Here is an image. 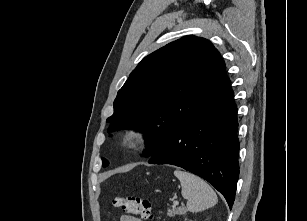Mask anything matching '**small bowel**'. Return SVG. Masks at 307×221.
<instances>
[{
  "instance_id": "1",
  "label": "small bowel",
  "mask_w": 307,
  "mask_h": 221,
  "mask_svg": "<svg viewBox=\"0 0 307 221\" xmlns=\"http://www.w3.org/2000/svg\"><path fill=\"white\" fill-rule=\"evenodd\" d=\"M119 221H142V220L131 215H121Z\"/></svg>"
}]
</instances>
